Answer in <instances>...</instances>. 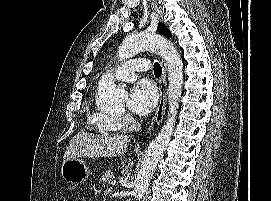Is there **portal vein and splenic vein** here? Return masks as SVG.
Listing matches in <instances>:
<instances>
[{
	"mask_svg": "<svg viewBox=\"0 0 271 201\" xmlns=\"http://www.w3.org/2000/svg\"><path fill=\"white\" fill-rule=\"evenodd\" d=\"M116 183H117V182H116V180H114V181H112V183H111V184H112V186H115V185H116Z\"/></svg>",
	"mask_w": 271,
	"mask_h": 201,
	"instance_id": "portal-vein-and-splenic-vein-1",
	"label": "portal vein and splenic vein"
}]
</instances>
